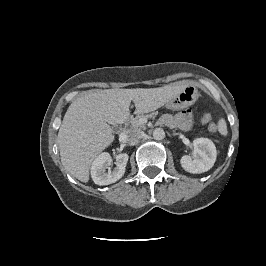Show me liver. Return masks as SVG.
Returning <instances> with one entry per match:
<instances>
[{"instance_id": "1", "label": "liver", "mask_w": 266, "mask_h": 266, "mask_svg": "<svg viewBox=\"0 0 266 266\" xmlns=\"http://www.w3.org/2000/svg\"><path fill=\"white\" fill-rule=\"evenodd\" d=\"M184 85L159 88L93 89L71 103L58 132L61 162L81 182L89 181L93 161L114 140L112 127L126 121L129 106L135 113L154 111L171 100Z\"/></svg>"}]
</instances>
